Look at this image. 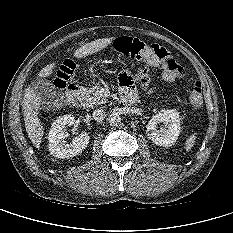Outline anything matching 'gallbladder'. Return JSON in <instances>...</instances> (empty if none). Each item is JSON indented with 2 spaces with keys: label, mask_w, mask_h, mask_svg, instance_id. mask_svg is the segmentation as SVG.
<instances>
[{
  "label": "gallbladder",
  "mask_w": 233,
  "mask_h": 233,
  "mask_svg": "<svg viewBox=\"0 0 233 233\" xmlns=\"http://www.w3.org/2000/svg\"><path fill=\"white\" fill-rule=\"evenodd\" d=\"M32 87L37 95L41 98L44 106L49 108H56L60 106L62 97L51 81L39 79L32 83Z\"/></svg>",
  "instance_id": "obj_1"
}]
</instances>
